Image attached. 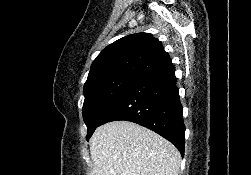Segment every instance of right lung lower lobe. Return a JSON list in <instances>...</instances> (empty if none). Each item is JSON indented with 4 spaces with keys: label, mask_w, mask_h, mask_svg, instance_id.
Listing matches in <instances>:
<instances>
[{
    "label": "right lung lower lobe",
    "mask_w": 251,
    "mask_h": 175,
    "mask_svg": "<svg viewBox=\"0 0 251 175\" xmlns=\"http://www.w3.org/2000/svg\"><path fill=\"white\" fill-rule=\"evenodd\" d=\"M175 69L131 85L102 115L99 126L117 120L137 123L163 136L184 155L185 125Z\"/></svg>",
    "instance_id": "1"
}]
</instances>
